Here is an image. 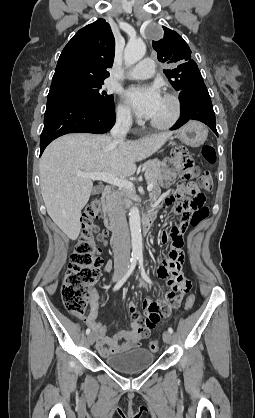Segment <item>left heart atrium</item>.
<instances>
[{
  "label": "left heart atrium",
  "instance_id": "left-heart-atrium-1",
  "mask_svg": "<svg viewBox=\"0 0 255 418\" xmlns=\"http://www.w3.org/2000/svg\"><path fill=\"white\" fill-rule=\"evenodd\" d=\"M126 99L135 112L145 118H151L162 99L155 86H133L126 91Z\"/></svg>",
  "mask_w": 255,
  "mask_h": 418
}]
</instances>
